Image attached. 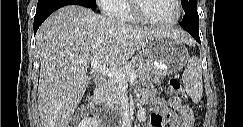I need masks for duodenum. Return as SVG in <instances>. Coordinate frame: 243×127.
Returning <instances> with one entry per match:
<instances>
[{
  "label": "duodenum",
  "instance_id": "410a0bca",
  "mask_svg": "<svg viewBox=\"0 0 243 127\" xmlns=\"http://www.w3.org/2000/svg\"><path fill=\"white\" fill-rule=\"evenodd\" d=\"M106 84V79L103 76H98L96 78V88L94 93L89 96V105L91 108V113L99 119L100 111H99V93L103 90Z\"/></svg>",
  "mask_w": 243,
  "mask_h": 127
}]
</instances>
